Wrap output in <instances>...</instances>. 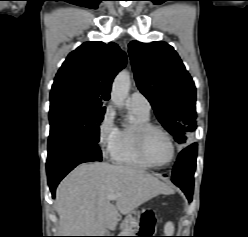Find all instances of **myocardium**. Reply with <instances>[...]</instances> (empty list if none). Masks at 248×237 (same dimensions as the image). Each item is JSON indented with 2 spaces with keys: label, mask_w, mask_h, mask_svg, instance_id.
<instances>
[{
  "label": "myocardium",
  "mask_w": 248,
  "mask_h": 237,
  "mask_svg": "<svg viewBox=\"0 0 248 237\" xmlns=\"http://www.w3.org/2000/svg\"><path fill=\"white\" fill-rule=\"evenodd\" d=\"M156 130L161 132L169 141L170 146H171V154L169 159L165 163L157 164L152 162L149 157L147 156L146 150H145V139L147 134L152 131ZM134 140H135V145L137 152L139 156L150 166L153 168L161 169L165 168L168 166L173 160L176 155V145L175 142L171 136V134L162 126L152 124V123H143L140 124L136 127L135 132H134Z\"/></svg>",
  "instance_id": "myocardium-1"
}]
</instances>
